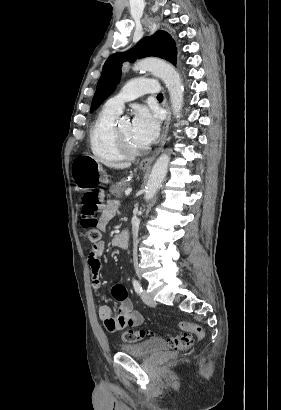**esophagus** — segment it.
<instances>
[{"label": "esophagus", "mask_w": 281, "mask_h": 410, "mask_svg": "<svg viewBox=\"0 0 281 410\" xmlns=\"http://www.w3.org/2000/svg\"><path fill=\"white\" fill-rule=\"evenodd\" d=\"M165 109L167 112V116H166V120L164 122L163 125V130H162V134H161V139H160V144L158 146V148L156 149L155 153L147 158H144L141 162H140V167H150L152 162L154 161V159L156 158V156L161 152V150L163 149V146L166 142L167 139V134H168V129H169V125H170V121H171V110L169 107L168 102H165Z\"/></svg>", "instance_id": "obj_1"}]
</instances>
